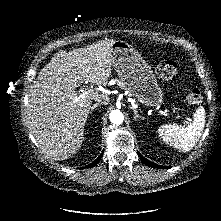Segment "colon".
Wrapping results in <instances>:
<instances>
[{
  "instance_id": "5ec220e1",
  "label": "colon",
  "mask_w": 221,
  "mask_h": 221,
  "mask_svg": "<svg viewBox=\"0 0 221 221\" xmlns=\"http://www.w3.org/2000/svg\"><path fill=\"white\" fill-rule=\"evenodd\" d=\"M156 72L162 79L171 80L178 74V64L173 60L164 61L157 66ZM186 99L188 104L197 106L202 103L203 96L199 89L194 88Z\"/></svg>"
}]
</instances>
